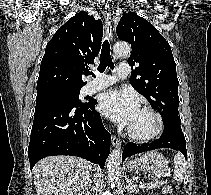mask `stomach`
Returning <instances> with one entry per match:
<instances>
[{"label": "stomach", "mask_w": 211, "mask_h": 195, "mask_svg": "<svg viewBox=\"0 0 211 195\" xmlns=\"http://www.w3.org/2000/svg\"><path fill=\"white\" fill-rule=\"evenodd\" d=\"M128 168L142 171L148 175L160 177L168 171V161L157 151L146 152L140 158L129 160Z\"/></svg>", "instance_id": "1"}]
</instances>
